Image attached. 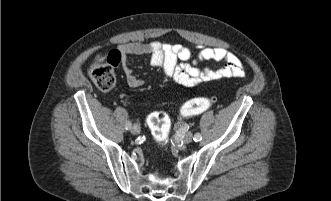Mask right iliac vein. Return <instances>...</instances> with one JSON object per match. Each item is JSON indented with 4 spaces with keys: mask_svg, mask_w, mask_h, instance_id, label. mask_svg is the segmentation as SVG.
Segmentation results:
<instances>
[{
    "mask_svg": "<svg viewBox=\"0 0 331 201\" xmlns=\"http://www.w3.org/2000/svg\"><path fill=\"white\" fill-rule=\"evenodd\" d=\"M131 133L134 135H137L140 133V127L138 125H133V127H131Z\"/></svg>",
    "mask_w": 331,
    "mask_h": 201,
    "instance_id": "1",
    "label": "right iliac vein"
}]
</instances>
